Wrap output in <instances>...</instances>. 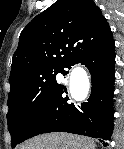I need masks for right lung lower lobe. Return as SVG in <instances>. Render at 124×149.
Instances as JSON below:
<instances>
[{
    "label": "right lung lower lobe",
    "mask_w": 124,
    "mask_h": 149,
    "mask_svg": "<svg viewBox=\"0 0 124 149\" xmlns=\"http://www.w3.org/2000/svg\"><path fill=\"white\" fill-rule=\"evenodd\" d=\"M78 63L85 65L91 74L88 101L81 105L71 102L66 87L57 83L26 126L19 143L42 133L67 132L98 138L107 145L104 141L111 138L114 116V39L76 58L62 74L67 75L68 69Z\"/></svg>",
    "instance_id": "98d812e1"
}]
</instances>
